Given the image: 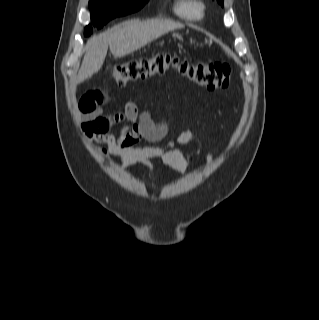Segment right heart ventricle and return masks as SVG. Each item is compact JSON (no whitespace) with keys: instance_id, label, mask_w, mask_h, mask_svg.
I'll return each mask as SVG.
<instances>
[{"instance_id":"e07e8e85","label":"right heart ventricle","mask_w":319,"mask_h":320,"mask_svg":"<svg viewBox=\"0 0 319 320\" xmlns=\"http://www.w3.org/2000/svg\"><path fill=\"white\" fill-rule=\"evenodd\" d=\"M204 10L205 5L201 0H180L174 6L175 14L188 20L201 19Z\"/></svg>"}]
</instances>
